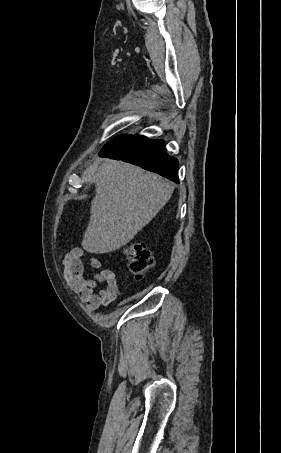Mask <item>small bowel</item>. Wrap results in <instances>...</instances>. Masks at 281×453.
I'll list each match as a JSON object with an SVG mask.
<instances>
[{
    "mask_svg": "<svg viewBox=\"0 0 281 453\" xmlns=\"http://www.w3.org/2000/svg\"><path fill=\"white\" fill-rule=\"evenodd\" d=\"M61 261L65 267V275L69 283L91 309H96L115 300L123 289L113 270L109 268L99 269L101 263L97 257H90L88 264H85L83 252L73 249L63 255ZM87 268L97 272L94 273L93 278L84 275ZM98 282H102L103 286L99 287Z\"/></svg>",
    "mask_w": 281,
    "mask_h": 453,
    "instance_id": "obj_1",
    "label": "small bowel"
}]
</instances>
